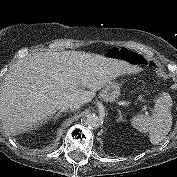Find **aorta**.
Listing matches in <instances>:
<instances>
[{
  "mask_svg": "<svg viewBox=\"0 0 177 177\" xmlns=\"http://www.w3.org/2000/svg\"><path fill=\"white\" fill-rule=\"evenodd\" d=\"M84 123L90 128H98L102 125V119L94 113L87 114Z\"/></svg>",
  "mask_w": 177,
  "mask_h": 177,
  "instance_id": "aorta-1",
  "label": "aorta"
}]
</instances>
